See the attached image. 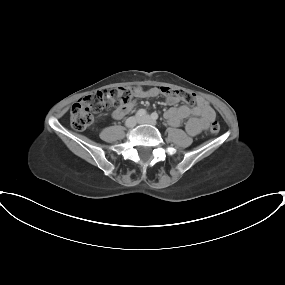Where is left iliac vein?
Segmentation results:
<instances>
[{"label":"left iliac vein","instance_id":"left-iliac-vein-1","mask_svg":"<svg viewBox=\"0 0 285 285\" xmlns=\"http://www.w3.org/2000/svg\"><path fill=\"white\" fill-rule=\"evenodd\" d=\"M139 123L140 124H150V125L156 124L155 120L152 119L149 115L139 118Z\"/></svg>","mask_w":285,"mask_h":285}]
</instances>
